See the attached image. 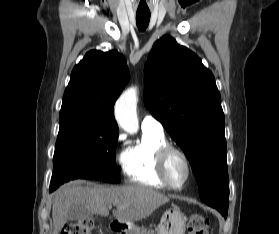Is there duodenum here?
I'll list each match as a JSON object with an SVG mask.
<instances>
[{
	"label": "duodenum",
	"instance_id": "obj_1",
	"mask_svg": "<svg viewBox=\"0 0 279 234\" xmlns=\"http://www.w3.org/2000/svg\"><path fill=\"white\" fill-rule=\"evenodd\" d=\"M116 229H117V230H119V227H118V226H116Z\"/></svg>",
	"mask_w": 279,
	"mask_h": 234
}]
</instances>
